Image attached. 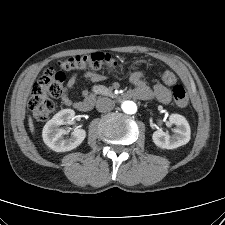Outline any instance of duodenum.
<instances>
[{
	"mask_svg": "<svg viewBox=\"0 0 225 225\" xmlns=\"http://www.w3.org/2000/svg\"><path fill=\"white\" fill-rule=\"evenodd\" d=\"M130 95V93H129ZM94 106V97L89 95L77 101L75 107L80 112H88Z\"/></svg>",
	"mask_w": 225,
	"mask_h": 225,
	"instance_id": "410a0bca",
	"label": "duodenum"
}]
</instances>
